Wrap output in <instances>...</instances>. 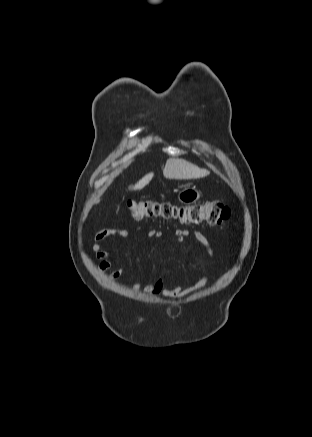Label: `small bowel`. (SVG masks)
Masks as SVG:
<instances>
[{
	"label": "small bowel",
	"mask_w": 312,
	"mask_h": 437,
	"mask_svg": "<svg viewBox=\"0 0 312 437\" xmlns=\"http://www.w3.org/2000/svg\"><path fill=\"white\" fill-rule=\"evenodd\" d=\"M110 236L129 238V233L126 230H122V229H104L95 235L94 244L92 248L96 258L99 259L100 261L98 264V270L100 272H105L109 270L113 265V261H114L113 254L110 251H108L102 243L106 238ZM147 236L150 238H160L162 237V233L157 230H151L147 233ZM175 236L177 237V240L179 242H184L187 238L193 236L195 240L207 251L208 254L211 253V248L207 239L204 237L203 234H201L198 231L190 232L188 230H176ZM121 274H122V269H117L112 272L110 278L111 280H116L121 276ZM207 280H208V276L205 275L195 285L191 287L177 286V287L167 288L165 287L163 281L161 279H158L156 282L149 285L143 286L141 284H136L134 286V289L136 291L143 290L155 297L164 296L167 298L176 299L194 290L199 289L207 282Z\"/></svg>",
	"instance_id": "small-bowel-1"
}]
</instances>
